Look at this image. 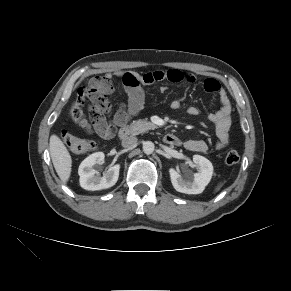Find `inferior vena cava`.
<instances>
[{"mask_svg": "<svg viewBox=\"0 0 291 291\" xmlns=\"http://www.w3.org/2000/svg\"><path fill=\"white\" fill-rule=\"evenodd\" d=\"M137 143V138L135 136H128L122 140V146L124 148H131Z\"/></svg>", "mask_w": 291, "mask_h": 291, "instance_id": "inferior-vena-cava-1", "label": "inferior vena cava"}]
</instances>
